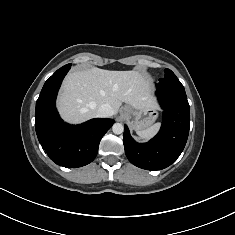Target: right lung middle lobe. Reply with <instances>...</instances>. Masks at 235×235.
Returning <instances> with one entry per match:
<instances>
[{"label":"right lung middle lobe","instance_id":"obj_1","mask_svg":"<svg viewBox=\"0 0 235 235\" xmlns=\"http://www.w3.org/2000/svg\"><path fill=\"white\" fill-rule=\"evenodd\" d=\"M67 65L71 66V64H67ZM67 65H65V66H67Z\"/></svg>","mask_w":235,"mask_h":235}]
</instances>
